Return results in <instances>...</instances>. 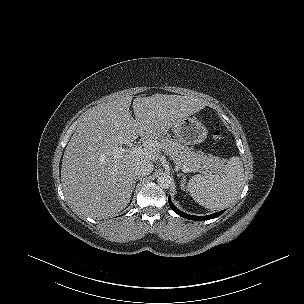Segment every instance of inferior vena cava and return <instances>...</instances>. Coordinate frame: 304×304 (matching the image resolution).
Here are the masks:
<instances>
[{
    "mask_svg": "<svg viewBox=\"0 0 304 304\" xmlns=\"http://www.w3.org/2000/svg\"><path fill=\"white\" fill-rule=\"evenodd\" d=\"M153 163L150 161H140L134 165V175L137 178L145 177L153 171Z\"/></svg>",
    "mask_w": 304,
    "mask_h": 304,
    "instance_id": "602c4592",
    "label": "inferior vena cava"
}]
</instances>
